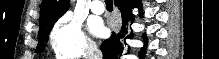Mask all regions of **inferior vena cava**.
Instances as JSON below:
<instances>
[{
	"instance_id": "inferior-vena-cava-1",
	"label": "inferior vena cava",
	"mask_w": 219,
	"mask_h": 59,
	"mask_svg": "<svg viewBox=\"0 0 219 59\" xmlns=\"http://www.w3.org/2000/svg\"><path fill=\"white\" fill-rule=\"evenodd\" d=\"M86 59H102V52L96 44H88L86 46Z\"/></svg>"
}]
</instances>
